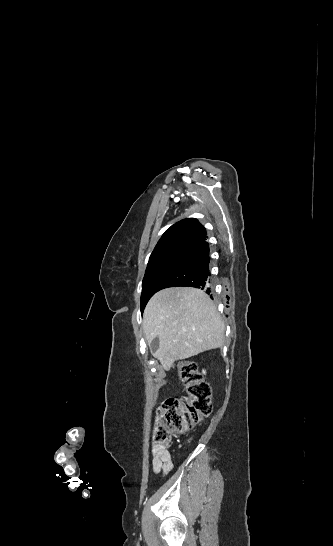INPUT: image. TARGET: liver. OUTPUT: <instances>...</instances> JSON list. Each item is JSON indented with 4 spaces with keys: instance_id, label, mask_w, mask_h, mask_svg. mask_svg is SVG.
Returning <instances> with one entry per match:
<instances>
[{
    "instance_id": "6515ba94",
    "label": "liver",
    "mask_w": 333,
    "mask_h": 546,
    "mask_svg": "<svg viewBox=\"0 0 333 546\" xmlns=\"http://www.w3.org/2000/svg\"><path fill=\"white\" fill-rule=\"evenodd\" d=\"M143 325L147 343L159 339L154 352L165 370L177 360L222 346L225 326L217 308L203 291L172 287L157 292L148 302Z\"/></svg>"
}]
</instances>
